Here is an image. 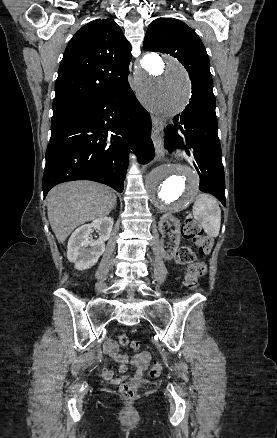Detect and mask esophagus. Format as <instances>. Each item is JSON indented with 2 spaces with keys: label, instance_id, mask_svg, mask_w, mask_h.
<instances>
[{
  "label": "esophagus",
  "instance_id": "1",
  "mask_svg": "<svg viewBox=\"0 0 277 438\" xmlns=\"http://www.w3.org/2000/svg\"><path fill=\"white\" fill-rule=\"evenodd\" d=\"M134 66L137 67L138 70H141V64L139 61H136L134 63ZM151 121H152L151 139L153 141L154 148L159 156H164L163 136L161 133L163 128V121L160 118L153 115L151 116Z\"/></svg>",
  "mask_w": 277,
  "mask_h": 438
}]
</instances>
